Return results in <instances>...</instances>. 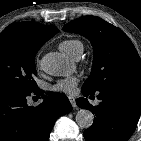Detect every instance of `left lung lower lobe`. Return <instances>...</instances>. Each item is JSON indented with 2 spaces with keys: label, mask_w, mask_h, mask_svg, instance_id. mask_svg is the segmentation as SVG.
Segmentation results:
<instances>
[{
  "label": "left lung lower lobe",
  "mask_w": 141,
  "mask_h": 141,
  "mask_svg": "<svg viewBox=\"0 0 141 141\" xmlns=\"http://www.w3.org/2000/svg\"><path fill=\"white\" fill-rule=\"evenodd\" d=\"M84 96L92 95L82 89ZM98 106L87 99L78 98L80 108L95 114V119L84 131L86 141H128L133 134L141 114V89L109 88L98 91Z\"/></svg>",
  "instance_id": "obj_1"
}]
</instances>
